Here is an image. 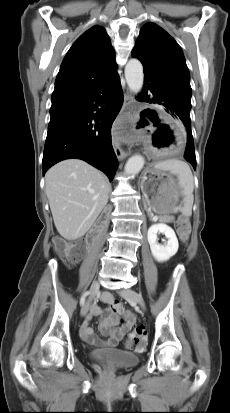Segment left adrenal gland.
I'll return each instance as SVG.
<instances>
[{"mask_svg": "<svg viewBox=\"0 0 230 413\" xmlns=\"http://www.w3.org/2000/svg\"><path fill=\"white\" fill-rule=\"evenodd\" d=\"M144 207L146 208V211H147V206H146L145 203H144ZM147 214H148V216L151 218V216H150V214H149V211H147Z\"/></svg>", "mask_w": 230, "mask_h": 413, "instance_id": "1", "label": "left adrenal gland"}]
</instances>
